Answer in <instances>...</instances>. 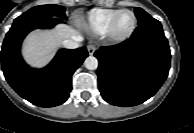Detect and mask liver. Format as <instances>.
<instances>
[{
	"label": "liver",
	"mask_w": 194,
	"mask_h": 133,
	"mask_svg": "<svg viewBox=\"0 0 194 133\" xmlns=\"http://www.w3.org/2000/svg\"><path fill=\"white\" fill-rule=\"evenodd\" d=\"M73 36H78V32L64 24L57 25L51 31H33L25 40L24 58L33 67H43L53 58L57 46Z\"/></svg>",
	"instance_id": "6515ba94"
}]
</instances>
